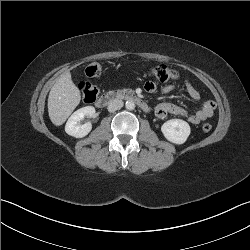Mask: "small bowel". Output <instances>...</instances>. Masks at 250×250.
Masks as SVG:
<instances>
[{"instance_id":"obj_1","label":"small bowel","mask_w":250,"mask_h":250,"mask_svg":"<svg viewBox=\"0 0 250 250\" xmlns=\"http://www.w3.org/2000/svg\"><path fill=\"white\" fill-rule=\"evenodd\" d=\"M144 88L147 92H154L156 90V86L152 82H147ZM175 89V85L168 84L161 87L160 91L162 94H168L174 91ZM186 90L192 99H200L199 91L189 82L186 83ZM215 106L216 105L214 101L206 100L203 102L199 110H197L195 113H189L182 106L163 102L154 107V113L160 119H164L168 114H173L187 118L188 122H190L191 124H199L200 122L210 118L213 115Z\"/></svg>"}]
</instances>
